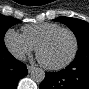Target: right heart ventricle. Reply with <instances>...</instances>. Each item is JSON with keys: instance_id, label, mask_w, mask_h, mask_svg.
I'll use <instances>...</instances> for the list:
<instances>
[{"instance_id": "right-heart-ventricle-1", "label": "right heart ventricle", "mask_w": 89, "mask_h": 89, "mask_svg": "<svg viewBox=\"0 0 89 89\" xmlns=\"http://www.w3.org/2000/svg\"><path fill=\"white\" fill-rule=\"evenodd\" d=\"M56 23L30 24L22 27V35L33 45L37 46L39 41L49 32L59 28Z\"/></svg>"}]
</instances>
